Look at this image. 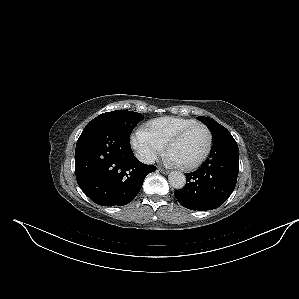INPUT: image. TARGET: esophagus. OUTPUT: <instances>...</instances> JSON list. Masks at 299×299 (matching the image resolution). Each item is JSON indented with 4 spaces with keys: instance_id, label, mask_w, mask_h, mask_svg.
Here are the masks:
<instances>
[{
    "instance_id": "esophagus-1",
    "label": "esophagus",
    "mask_w": 299,
    "mask_h": 299,
    "mask_svg": "<svg viewBox=\"0 0 299 299\" xmlns=\"http://www.w3.org/2000/svg\"><path fill=\"white\" fill-rule=\"evenodd\" d=\"M158 170L163 173V174H168L169 173V170H165L163 168H158Z\"/></svg>"
}]
</instances>
